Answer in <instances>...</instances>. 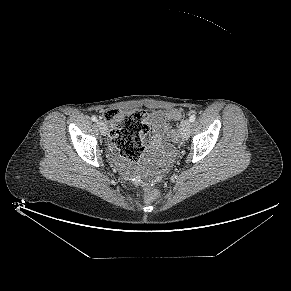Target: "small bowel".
Returning <instances> with one entry per match:
<instances>
[{
	"label": "small bowel",
	"instance_id": "obj_1",
	"mask_svg": "<svg viewBox=\"0 0 291 291\" xmlns=\"http://www.w3.org/2000/svg\"><path fill=\"white\" fill-rule=\"evenodd\" d=\"M150 129L141 135V139L148 143V159L158 166L165 165L172 154L168 139H174V131L169 125V118L165 111H154L150 115Z\"/></svg>",
	"mask_w": 291,
	"mask_h": 291
}]
</instances>
